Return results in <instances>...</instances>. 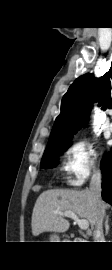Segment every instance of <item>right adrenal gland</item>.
Segmentation results:
<instances>
[{"instance_id": "obj_1", "label": "right adrenal gland", "mask_w": 112, "mask_h": 270, "mask_svg": "<svg viewBox=\"0 0 112 270\" xmlns=\"http://www.w3.org/2000/svg\"><path fill=\"white\" fill-rule=\"evenodd\" d=\"M110 226H109V215L105 217V235H108Z\"/></svg>"}]
</instances>
